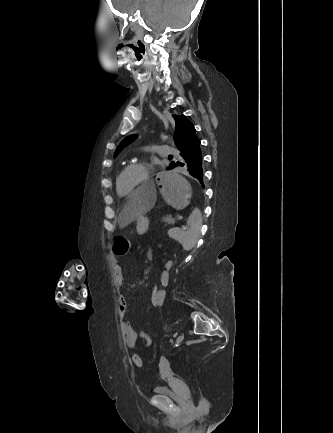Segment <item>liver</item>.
<instances>
[{
	"label": "liver",
	"mask_w": 333,
	"mask_h": 433,
	"mask_svg": "<svg viewBox=\"0 0 333 433\" xmlns=\"http://www.w3.org/2000/svg\"><path fill=\"white\" fill-rule=\"evenodd\" d=\"M139 192H129V201H119L120 216L119 227L125 228L134 220H139L141 215H148L151 202L157 200L155 183H139Z\"/></svg>",
	"instance_id": "obj_1"
}]
</instances>
